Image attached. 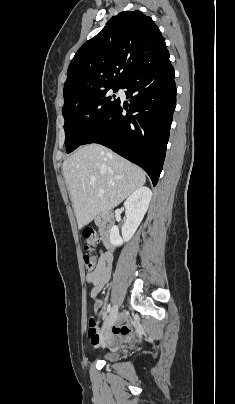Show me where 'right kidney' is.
Here are the masks:
<instances>
[{
	"label": "right kidney",
	"mask_w": 235,
	"mask_h": 404,
	"mask_svg": "<svg viewBox=\"0 0 235 404\" xmlns=\"http://www.w3.org/2000/svg\"><path fill=\"white\" fill-rule=\"evenodd\" d=\"M151 197L152 192L148 187H140L126 199L124 202L126 221L122 226V237L119 228L113 226L110 232L112 245L120 246L133 237L148 210Z\"/></svg>",
	"instance_id": "obj_1"
}]
</instances>
